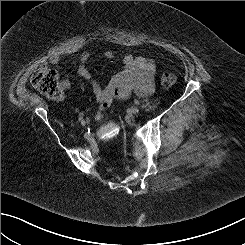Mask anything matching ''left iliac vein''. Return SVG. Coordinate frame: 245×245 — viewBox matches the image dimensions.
<instances>
[{
    "mask_svg": "<svg viewBox=\"0 0 245 245\" xmlns=\"http://www.w3.org/2000/svg\"><path fill=\"white\" fill-rule=\"evenodd\" d=\"M139 111H140V109L138 108V107H131L130 108V112L132 113V114H138L139 113Z\"/></svg>",
    "mask_w": 245,
    "mask_h": 245,
    "instance_id": "4c4485c4",
    "label": "left iliac vein"
}]
</instances>
